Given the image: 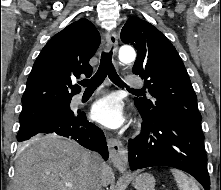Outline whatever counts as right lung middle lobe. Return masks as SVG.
<instances>
[{"mask_svg":"<svg viewBox=\"0 0 221 190\" xmlns=\"http://www.w3.org/2000/svg\"><path fill=\"white\" fill-rule=\"evenodd\" d=\"M70 101L71 99L60 100L23 108L19 116L20 129L49 116L71 112Z\"/></svg>","mask_w":221,"mask_h":190,"instance_id":"dd1d6c3e","label":"right lung middle lobe"}]
</instances>
